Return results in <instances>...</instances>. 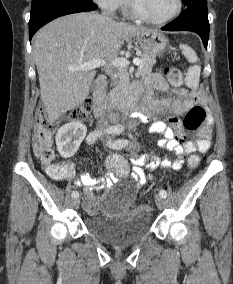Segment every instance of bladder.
<instances>
[{
    "label": "bladder",
    "instance_id": "obj_1",
    "mask_svg": "<svg viewBox=\"0 0 233 284\" xmlns=\"http://www.w3.org/2000/svg\"><path fill=\"white\" fill-rule=\"evenodd\" d=\"M136 190L130 185L121 187L116 195L108 193L101 202L112 206L133 202ZM95 200V199H94ZM86 230L96 239L115 246H123L141 240L152 227L151 216L142 210L120 214H98L84 219Z\"/></svg>",
    "mask_w": 233,
    "mask_h": 284
}]
</instances>
